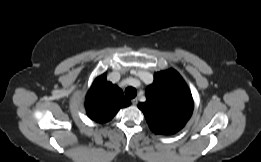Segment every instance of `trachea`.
Listing matches in <instances>:
<instances>
[{
    "label": "trachea",
    "mask_w": 261,
    "mask_h": 162,
    "mask_svg": "<svg viewBox=\"0 0 261 162\" xmlns=\"http://www.w3.org/2000/svg\"><path fill=\"white\" fill-rule=\"evenodd\" d=\"M125 95L130 98V99H133L136 97L137 95V90L133 87H128L125 89Z\"/></svg>",
    "instance_id": "obj_1"
}]
</instances>
